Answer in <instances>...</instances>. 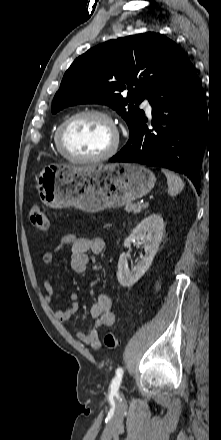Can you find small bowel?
<instances>
[{"mask_svg": "<svg viewBox=\"0 0 221 440\" xmlns=\"http://www.w3.org/2000/svg\"><path fill=\"white\" fill-rule=\"evenodd\" d=\"M67 247L71 248L70 265L72 270L77 274H83L86 272L89 262L88 253L91 252L95 255L103 253L105 250V241L102 238H85L73 234L65 235L60 239L59 244L53 250L47 251L43 254V264H52L55 254ZM43 287L45 291V299L48 303H51L55 293L51 281L45 279ZM78 298V293L73 292L70 295V306L65 310H57L55 312V317L62 322L69 321L70 318L79 311ZM88 315L94 322L93 328L89 332L79 331L76 336L81 342L97 349L101 347L98 329L100 327H112L116 321V315L112 311V301L109 295L106 293H100L97 296L96 301L90 307Z\"/></svg>", "mask_w": 221, "mask_h": 440, "instance_id": "small-bowel-1", "label": "small bowel"}]
</instances>
